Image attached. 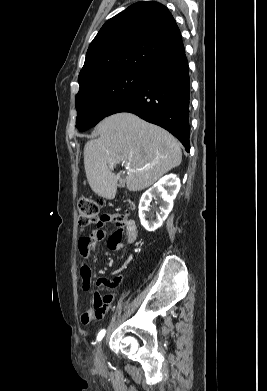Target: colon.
Listing matches in <instances>:
<instances>
[{
    "instance_id": "colon-1",
    "label": "colon",
    "mask_w": 267,
    "mask_h": 391,
    "mask_svg": "<svg viewBox=\"0 0 267 391\" xmlns=\"http://www.w3.org/2000/svg\"><path fill=\"white\" fill-rule=\"evenodd\" d=\"M100 206L99 201L90 197L82 196L78 201L77 214L78 224L81 229H84L92 224H98L101 221L99 215ZM126 218L122 215L118 216V221L123 222ZM79 251L86 254L92 248V240L89 235H83L78 242Z\"/></svg>"
}]
</instances>
